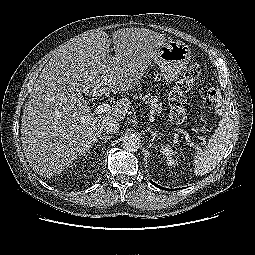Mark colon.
<instances>
[{"label":"colon","mask_w":255,"mask_h":255,"mask_svg":"<svg viewBox=\"0 0 255 255\" xmlns=\"http://www.w3.org/2000/svg\"><path fill=\"white\" fill-rule=\"evenodd\" d=\"M201 74V68L198 64H192L186 70L184 75L174 84L172 91L169 94L170 118L175 124H182L186 119V93L189 92L196 80ZM210 101H218L220 92L211 88L207 92Z\"/></svg>","instance_id":"colon-1"}]
</instances>
